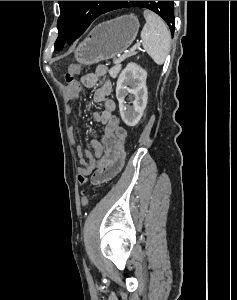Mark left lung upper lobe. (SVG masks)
Listing matches in <instances>:
<instances>
[{
	"label": "left lung upper lobe",
	"instance_id": "1",
	"mask_svg": "<svg viewBox=\"0 0 237 300\" xmlns=\"http://www.w3.org/2000/svg\"><path fill=\"white\" fill-rule=\"evenodd\" d=\"M112 1H58L60 16L57 21L59 35L55 49L59 50L66 41L72 43L79 38L89 25L101 14ZM141 7L157 13L174 30L173 1L161 7L160 1H122L121 8ZM173 33V32H172Z\"/></svg>",
	"mask_w": 237,
	"mask_h": 300
}]
</instances>
